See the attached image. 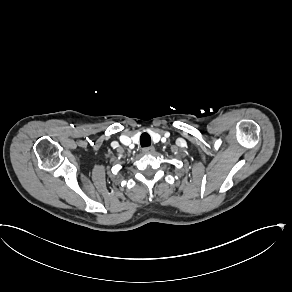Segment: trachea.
I'll list each match as a JSON object with an SVG mask.
<instances>
[{"instance_id": "obj_1", "label": "trachea", "mask_w": 292, "mask_h": 292, "mask_svg": "<svg viewBox=\"0 0 292 292\" xmlns=\"http://www.w3.org/2000/svg\"><path fill=\"white\" fill-rule=\"evenodd\" d=\"M140 144L142 147H147L151 145V137L148 133H142L140 136Z\"/></svg>"}]
</instances>
